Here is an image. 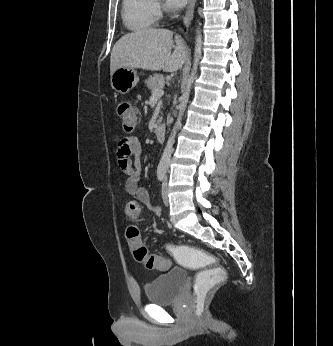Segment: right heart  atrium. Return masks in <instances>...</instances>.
Returning a JSON list of instances; mask_svg holds the SVG:
<instances>
[{"label": "right heart atrium", "instance_id": "obj_1", "mask_svg": "<svg viewBox=\"0 0 333 346\" xmlns=\"http://www.w3.org/2000/svg\"><path fill=\"white\" fill-rule=\"evenodd\" d=\"M152 9L155 17H159L163 11L162 5L158 0H152Z\"/></svg>", "mask_w": 333, "mask_h": 346}]
</instances>
